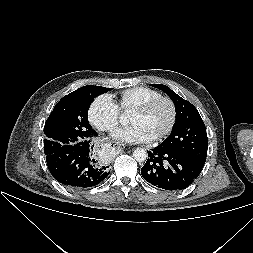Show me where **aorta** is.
<instances>
[{"label": "aorta", "instance_id": "aorta-1", "mask_svg": "<svg viewBox=\"0 0 253 253\" xmlns=\"http://www.w3.org/2000/svg\"><path fill=\"white\" fill-rule=\"evenodd\" d=\"M133 157L138 162H144L147 159L148 154H147V151L145 149L137 148L133 152Z\"/></svg>", "mask_w": 253, "mask_h": 253}]
</instances>
